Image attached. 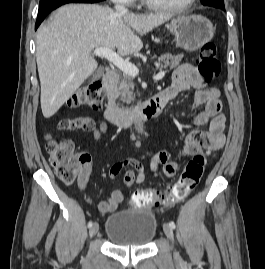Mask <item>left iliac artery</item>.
I'll return each mask as SVG.
<instances>
[{"label": "left iliac artery", "mask_w": 265, "mask_h": 269, "mask_svg": "<svg viewBox=\"0 0 265 269\" xmlns=\"http://www.w3.org/2000/svg\"><path fill=\"white\" fill-rule=\"evenodd\" d=\"M169 225H170L173 229H175V227H176V225H175V223H174L173 221L169 222Z\"/></svg>", "instance_id": "obj_1"}]
</instances>
